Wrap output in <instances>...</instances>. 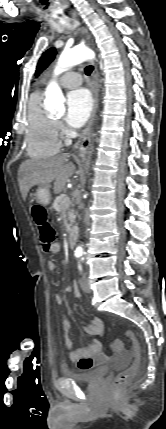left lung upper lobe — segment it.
Returning <instances> with one entry per match:
<instances>
[{"label":"left lung upper lobe","mask_w":166,"mask_h":429,"mask_svg":"<svg viewBox=\"0 0 166 429\" xmlns=\"http://www.w3.org/2000/svg\"><path fill=\"white\" fill-rule=\"evenodd\" d=\"M55 55H56V49L54 47L48 49L42 54L35 71L36 77L39 76L43 72V70H45L48 67V65L54 60Z\"/></svg>","instance_id":"1"}]
</instances>
